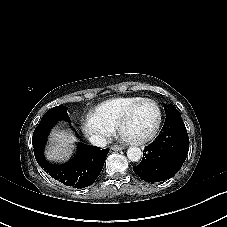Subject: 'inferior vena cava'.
<instances>
[{
    "instance_id": "1",
    "label": "inferior vena cava",
    "mask_w": 227,
    "mask_h": 227,
    "mask_svg": "<svg viewBox=\"0 0 227 227\" xmlns=\"http://www.w3.org/2000/svg\"><path fill=\"white\" fill-rule=\"evenodd\" d=\"M91 143L97 147H105L107 145V140L106 138L99 136V135H93L90 138Z\"/></svg>"
}]
</instances>
